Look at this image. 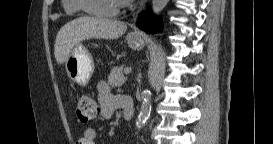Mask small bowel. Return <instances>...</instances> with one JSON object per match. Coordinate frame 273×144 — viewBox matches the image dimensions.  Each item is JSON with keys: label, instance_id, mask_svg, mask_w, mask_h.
<instances>
[{"label": "small bowel", "instance_id": "1", "mask_svg": "<svg viewBox=\"0 0 273 144\" xmlns=\"http://www.w3.org/2000/svg\"><path fill=\"white\" fill-rule=\"evenodd\" d=\"M98 102L100 104L101 116L110 119L116 112L123 110L120 96L111 92L110 86L101 81L98 84ZM97 132L94 128H86L83 135L76 141V144H95Z\"/></svg>", "mask_w": 273, "mask_h": 144}]
</instances>
